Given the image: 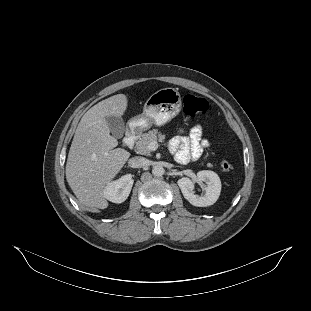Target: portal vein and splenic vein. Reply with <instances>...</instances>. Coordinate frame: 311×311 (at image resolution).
<instances>
[{
  "mask_svg": "<svg viewBox=\"0 0 311 311\" xmlns=\"http://www.w3.org/2000/svg\"><path fill=\"white\" fill-rule=\"evenodd\" d=\"M158 149V143L156 141L151 142L150 144L147 145V150L149 152H155Z\"/></svg>",
  "mask_w": 311,
  "mask_h": 311,
  "instance_id": "portal-vein-and-splenic-vein-1",
  "label": "portal vein and splenic vein"
}]
</instances>
